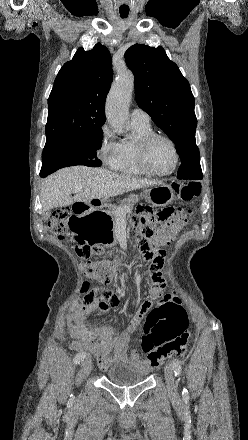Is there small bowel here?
<instances>
[{"instance_id":"1","label":"small bowel","mask_w":248,"mask_h":440,"mask_svg":"<svg viewBox=\"0 0 248 440\" xmlns=\"http://www.w3.org/2000/svg\"><path fill=\"white\" fill-rule=\"evenodd\" d=\"M166 261L161 257H154L148 261L152 283L150 294L152 299L146 300L138 311L133 315L126 329L117 333L109 325H101L92 328L87 322V317L94 311L106 312L109 308L119 305V295L109 288H96L101 291L107 289L113 292L114 297L110 300L101 299L91 308L84 309L75 307L68 319V332L72 338L70 347L74 350H88L94 354L101 369L106 370L116 363L122 362L140 371H150L153 366L148 358H144L134 347L135 340L131 335L136 332L145 315L159 303L169 304L174 301L180 304L177 294L163 296L167 288V278L164 277Z\"/></svg>"}]
</instances>
